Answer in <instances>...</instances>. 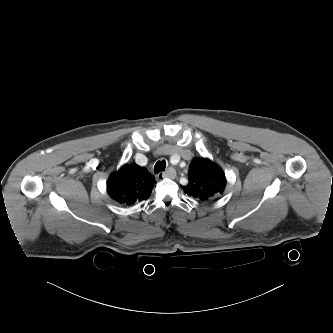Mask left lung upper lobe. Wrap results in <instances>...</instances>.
Listing matches in <instances>:
<instances>
[{
	"mask_svg": "<svg viewBox=\"0 0 333 333\" xmlns=\"http://www.w3.org/2000/svg\"><path fill=\"white\" fill-rule=\"evenodd\" d=\"M189 183L182 186L184 192L195 199L219 198L225 189L226 178L222 169L206 158H194L189 168Z\"/></svg>",
	"mask_w": 333,
	"mask_h": 333,
	"instance_id": "left-lung-upper-lobe-1",
	"label": "left lung upper lobe"
}]
</instances>
